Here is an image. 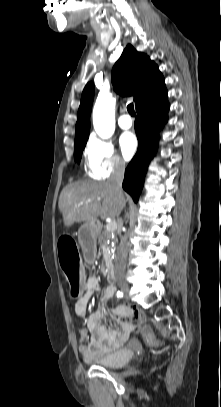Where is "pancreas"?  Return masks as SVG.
<instances>
[{
  "label": "pancreas",
  "instance_id": "pancreas-1",
  "mask_svg": "<svg viewBox=\"0 0 221 407\" xmlns=\"http://www.w3.org/2000/svg\"><path fill=\"white\" fill-rule=\"evenodd\" d=\"M111 234H112V232H108V231L103 232L101 234V238H100V241H99L100 246H101V250H102V254H103V258L105 260V263H106L107 267H109L111 259H110V254L108 253V249L103 244V239L111 237Z\"/></svg>",
  "mask_w": 221,
  "mask_h": 407
}]
</instances>
